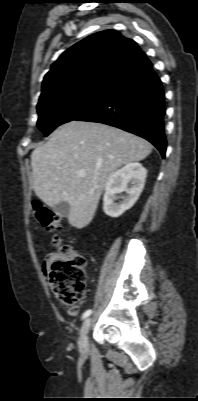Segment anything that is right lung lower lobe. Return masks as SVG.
<instances>
[{
	"instance_id": "1",
	"label": "right lung lower lobe",
	"mask_w": 198,
	"mask_h": 401,
	"mask_svg": "<svg viewBox=\"0 0 198 401\" xmlns=\"http://www.w3.org/2000/svg\"><path fill=\"white\" fill-rule=\"evenodd\" d=\"M164 99L161 81L146 59L111 83L103 97L74 120L104 123L141 136L164 158Z\"/></svg>"
}]
</instances>
